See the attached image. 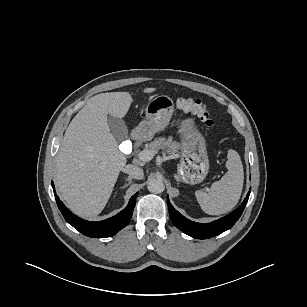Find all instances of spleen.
<instances>
[{
  "label": "spleen",
  "mask_w": 307,
  "mask_h": 307,
  "mask_svg": "<svg viewBox=\"0 0 307 307\" xmlns=\"http://www.w3.org/2000/svg\"><path fill=\"white\" fill-rule=\"evenodd\" d=\"M228 172L214 182L210 190H197L195 196L202 210L209 215H220L231 211L238 203L244 182L243 165L239 154L230 149L227 155Z\"/></svg>",
  "instance_id": "obj_1"
}]
</instances>
